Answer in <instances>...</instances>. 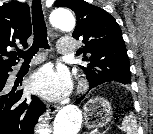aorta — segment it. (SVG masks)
I'll list each match as a JSON object with an SVG mask.
<instances>
[{"label": "aorta", "instance_id": "aorta-1", "mask_svg": "<svg viewBox=\"0 0 153 134\" xmlns=\"http://www.w3.org/2000/svg\"><path fill=\"white\" fill-rule=\"evenodd\" d=\"M54 28L71 31L75 26V19L70 11L56 9L51 15ZM82 123L80 110L74 105L63 107L55 117L53 134H78Z\"/></svg>", "mask_w": 153, "mask_h": 134}]
</instances>
